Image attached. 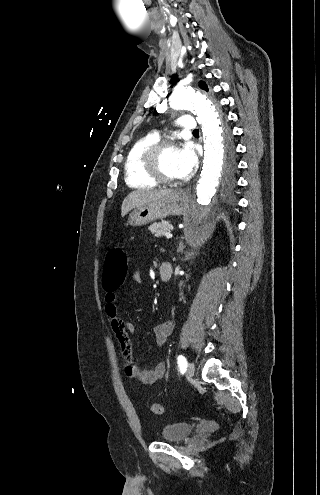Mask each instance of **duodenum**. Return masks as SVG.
Masks as SVG:
<instances>
[{"label":"duodenum","mask_w":320,"mask_h":495,"mask_svg":"<svg viewBox=\"0 0 320 495\" xmlns=\"http://www.w3.org/2000/svg\"><path fill=\"white\" fill-rule=\"evenodd\" d=\"M160 279L162 282L167 283L171 280L173 275V266L170 262H163L159 268Z\"/></svg>","instance_id":"410a0bca"}]
</instances>
